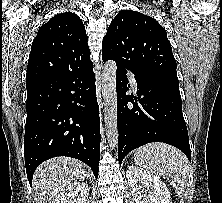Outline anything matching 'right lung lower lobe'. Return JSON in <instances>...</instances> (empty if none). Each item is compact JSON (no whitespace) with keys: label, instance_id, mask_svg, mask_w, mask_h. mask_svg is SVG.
I'll return each instance as SVG.
<instances>
[{"label":"right lung lower lobe","instance_id":"right-lung-lower-lobe-1","mask_svg":"<svg viewBox=\"0 0 222 203\" xmlns=\"http://www.w3.org/2000/svg\"><path fill=\"white\" fill-rule=\"evenodd\" d=\"M24 154L27 178L56 156L79 159L98 177L100 118L93 65L26 84Z\"/></svg>","mask_w":222,"mask_h":203}]
</instances>
